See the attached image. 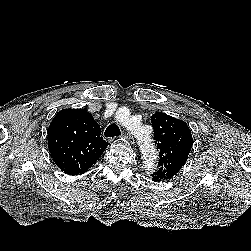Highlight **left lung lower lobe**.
Returning <instances> with one entry per match:
<instances>
[{
    "label": "left lung lower lobe",
    "instance_id": "1",
    "mask_svg": "<svg viewBox=\"0 0 251 251\" xmlns=\"http://www.w3.org/2000/svg\"><path fill=\"white\" fill-rule=\"evenodd\" d=\"M152 180H153V181H157V182H159L158 180H156V179H154V178H152Z\"/></svg>",
    "mask_w": 251,
    "mask_h": 251
}]
</instances>
